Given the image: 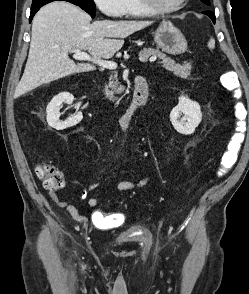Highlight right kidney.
<instances>
[{
	"label": "right kidney",
	"mask_w": 249,
	"mask_h": 294,
	"mask_svg": "<svg viewBox=\"0 0 249 294\" xmlns=\"http://www.w3.org/2000/svg\"><path fill=\"white\" fill-rule=\"evenodd\" d=\"M73 100L74 96L68 92L59 93L58 95L53 97L46 108L47 123L50 127L56 130H64L66 128L75 126L83 119L82 113L78 112L70 119H67L65 121L60 120V106L63 103L72 104Z\"/></svg>",
	"instance_id": "right-kidney-1"
}]
</instances>
